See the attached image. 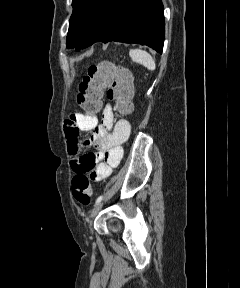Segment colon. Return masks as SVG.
Segmentation results:
<instances>
[{
	"label": "colon",
	"instance_id": "colon-1",
	"mask_svg": "<svg viewBox=\"0 0 240 288\" xmlns=\"http://www.w3.org/2000/svg\"><path fill=\"white\" fill-rule=\"evenodd\" d=\"M107 97L116 102L117 111L128 114L132 110V80L129 71L111 63L90 66L78 87L76 100L86 115L95 116L102 107L103 89ZM74 198L82 205L91 201L92 190L88 177L77 174L72 181Z\"/></svg>",
	"mask_w": 240,
	"mask_h": 288
}]
</instances>
